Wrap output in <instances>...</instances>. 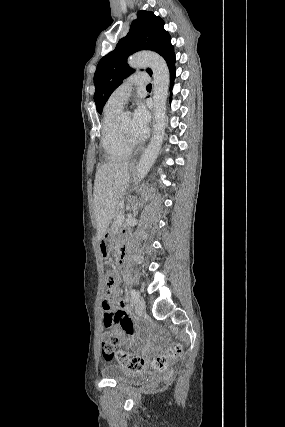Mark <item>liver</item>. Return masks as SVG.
<instances>
[{"instance_id":"obj_1","label":"liver","mask_w":285,"mask_h":427,"mask_svg":"<svg viewBox=\"0 0 285 427\" xmlns=\"http://www.w3.org/2000/svg\"><path fill=\"white\" fill-rule=\"evenodd\" d=\"M128 162H109L96 172L93 192L98 237L106 233L130 181Z\"/></svg>"}]
</instances>
